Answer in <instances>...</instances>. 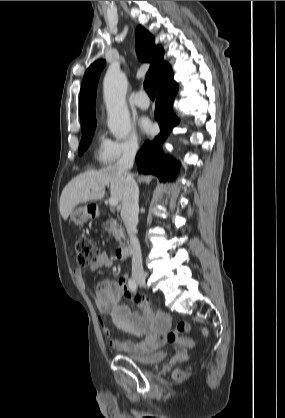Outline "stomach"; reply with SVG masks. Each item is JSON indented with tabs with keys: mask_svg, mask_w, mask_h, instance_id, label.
<instances>
[{
	"mask_svg": "<svg viewBox=\"0 0 285 418\" xmlns=\"http://www.w3.org/2000/svg\"><path fill=\"white\" fill-rule=\"evenodd\" d=\"M91 217V214L88 211L87 206L77 208L71 216V219L75 224L81 225L88 221V219Z\"/></svg>",
	"mask_w": 285,
	"mask_h": 418,
	"instance_id": "stomach-1",
	"label": "stomach"
}]
</instances>
